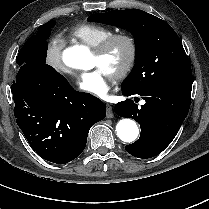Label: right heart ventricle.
Here are the masks:
<instances>
[{
	"label": "right heart ventricle",
	"mask_w": 209,
	"mask_h": 209,
	"mask_svg": "<svg viewBox=\"0 0 209 209\" xmlns=\"http://www.w3.org/2000/svg\"><path fill=\"white\" fill-rule=\"evenodd\" d=\"M68 34L80 42L95 48L114 34V31L104 25L82 23L68 31Z\"/></svg>",
	"instance_id": "1"
}]
</instances>
